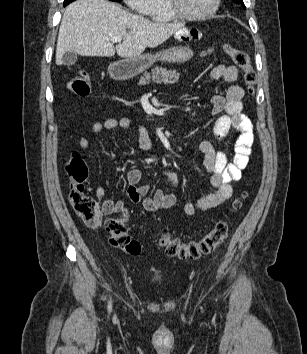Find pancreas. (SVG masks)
Segmentation results:
<instances>
[{
    "mask_svg": "<svg viewBox=\"0 0 307 354\" xmlns=\"http://www.w3.org/2000/svg\"><path fill=\"white\" fill-rule=\"evenodd\" d=\"M180 74L176 70H167L166 68L155 67L150 73L146 72L141 77L139 84H148L150 81L163 82L165 84H175L178 82Z\"/></svg>",
    "mask_w": 307,
    "mask_h": 354,
    "instance_id": "pancreas-1",
    "label": "pancreas"
}]
</instances>
